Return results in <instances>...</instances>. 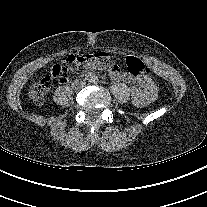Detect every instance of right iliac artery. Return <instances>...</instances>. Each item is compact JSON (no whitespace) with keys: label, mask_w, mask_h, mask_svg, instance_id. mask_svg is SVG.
<instances>
[{"label":"right iliac artery","mask_w":207,"mask_h":207,"mask_svg":"<svg viewBox=\"0 0 207 207\" xmlns=\"http://www.w3.org/2000/svg\"><path fill=\"white\" fill-rule=\"evenodd\" d=\"M91 78H92L91 74H88V75H86L85 80H90Z\"/></svg>","instance_id":"right-iliac-artery-1"}]
</instances>
